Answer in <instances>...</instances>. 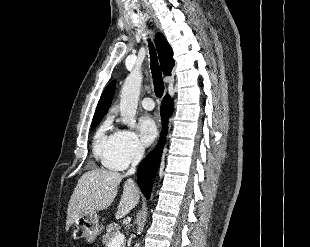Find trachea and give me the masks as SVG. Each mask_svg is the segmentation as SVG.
I'll use <instances>...</instances> for the list:
<instances>
[{
    "label": "trachea",
    "mask_w": 310,
    "mask_h": 247,
    "mask_svg": "<svg viewBox=\"0 0 310 247\" xmlns=\"http://www.w3.org/2000/svg\"><path fill=\"white\" fill-rule=\"evenodd\" d=\"M150 47V59H151V72L154 84L155 95L160 98L164 92V82L162 79V74L160 70V66L158 64L156 51L153 47L152 43H149Z\"/></svg>",
    "instance_id": "obj_1"
}]
</instances>
